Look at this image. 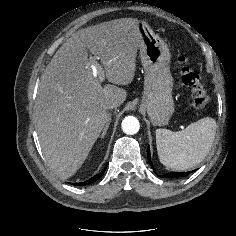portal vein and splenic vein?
Here are the masks:
<instances>
[{
	"label": "portal vein and splenic vein",
	"instance_id": "18ae733b",
	"mask_svg": "<svg viewBox=\"0 0 236 236\" xmlns=\"http://www.w3.org/2000/svg\"><path fill=\"white\" fill-rule=\"evenodd\" d=\"M90 62L94 77H98L101 82L104 81L105 72L103 70V67L92 58Z\"/></svg>",
	"mask_w": 236,
	"mask_h": 236
}]
</instances>
